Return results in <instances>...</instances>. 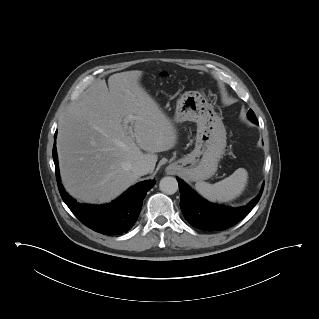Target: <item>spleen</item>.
<instances>
[{"mask_svg": "<svg viewBox=\"0 0 319 319\" xmlns=\"http://www.w3.org/2000/svg\"><path fill=\"white\" fill-rule=\"evenodd\" d=\"M247 181V170L238 168L232 175L215 184L199 181L195 184V189L201 196L211 202H228L244 191Z\"/></svg>", "mask_w": 319, "mask_h": 319, "instance_id": "spleen-1", "label": "spleen"}]
</instances>
